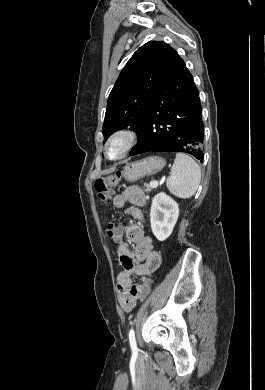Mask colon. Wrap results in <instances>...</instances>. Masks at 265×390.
<instances>
[{
  "mask_svg": "<svg viewBox=\"0 0 265 390\" xmlns=\"http://www.w3.org/2000/svg\"><path fill=\"white\" fill-rule=\"evenodd\" d=\"M120 174L114 176H107L98 178L95 181V190L101 200H107L110 194L113 192V189L118 183ZM107 235L117 242L120 239L119 225L115 222H110L107 225ZM151 287V281L149 279H144L140 284V299H145Z\"/></svg>",
  "mask_w": 265,
  "mask_h": 390,
  "instance_id": "5ec220e1",
  "label": "colon"
}]
</instances>
